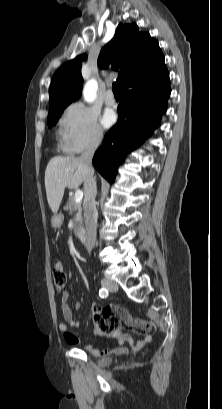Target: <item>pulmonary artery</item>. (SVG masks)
Listing matches in <instances>:
<instances>
[{"mask_svg": "<svg viewBox=\"0 0 222 409\" xmlns=\"http://www.w3.org/2000/svg\"><path fill=\"white\" fill-rule=\"evenodd\" d=\"M105 103L108 106H114L115 103H116L113 92H112L111 89H108V91H107V94H106V97H105Z\"/></svg>", "mask_w": 222, "mask_h": 409, "instance_id": "pulmonary-artery-1", "label": "pulmonary artery"}]
</instances>
